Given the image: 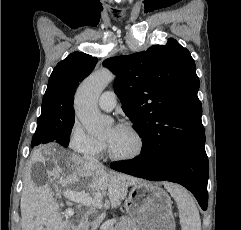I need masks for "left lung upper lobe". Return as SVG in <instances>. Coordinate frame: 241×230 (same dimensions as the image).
<instances>
[{"instance_id":"left-lung-upper-lobe-1","label":"left lung upper lobe","mask_w":241,"mask_h":230,"mask_svg":"<svg viewBox=\"0 0 241 230\" xmlns=\"http://www.w3.org/2000/svg\"><path fill=\"white\" fill-rule=\"evenodd\" d=\"M103 65L117 74L115 92L143 139L205 143L199 78L190 52L175 39L147 51L112 57Z\"/></svg>"}]
</instances>
